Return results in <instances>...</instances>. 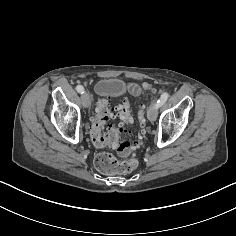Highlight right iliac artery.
Instances as JSON below:
<instances>
[{
  "label": "right iliac artery",
  "mask_w": 236,
  "mask_h": 236,
  "mask_svg": "<svg viewBox=\"0 0 236 236\" xmlns=\"http://www.w3.org/2000/svg\"><path fill=\"white\" fill-rule=\"evenodd\" d=\"M76 90H77V92H79V93H84V88H83V86H81V85H78L77 87H76Z\"/></svg>",
  "instance_id": "1"
}]
</instances>
